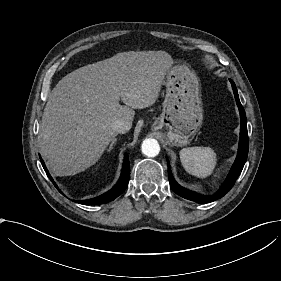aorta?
Here are the masks:
<instances>
[{
	"instance_id": "obj_1",
	"label": "aorta",
	"mask_w": 281,
	"mask_h": 281,
	"mask_svg": "<svg viewBox=\"0 0 281 281\" xmlns=\"http://www.w3.org/2000/svg\"><path fill=\"white\" fill-rule=\"evenodd\" d=\"M143 154L148 157H155L160 152V146L156 139H145L141 146Z\"/></svg>"
}]
</instances>
